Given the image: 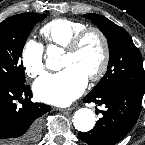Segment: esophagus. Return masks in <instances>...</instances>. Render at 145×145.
<instances>
[{"instance_id":"obj_1","label":"esophagus","mask_w":145,"mask_h":145,"mask_svg":"<svg viewBox=\"0 0 145 145\" xmlns=\"http://www.w3.org/2000/svg\"><path fill=\"white\" fill-rule=\"evenodd\" d=\"M58 110L61 112H69L72 110V108H59Z\"/></svg>"}]
</instances>
